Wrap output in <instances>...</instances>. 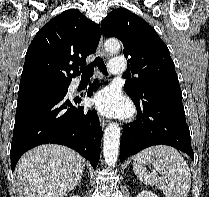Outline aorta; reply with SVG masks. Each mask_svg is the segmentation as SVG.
Instances as JSON below:
<instances>
[{"label":"aorta","instance_id":"obj_1","mask_svg":"<svg viewBox=\"0 0 209 197\" xmlns=\"http://www.w3.org/2000/svg\"><path fill=\"white\" fill-rule=\"evenodd\" d=\"M121 48L117 39H108L105 42V49L109 53H117ZM120 127L117 123H110L105 129L103 136V156L107 166L114 167L119 155Z\"/></svg>","mask_w":209,"mask_h":197}]
</instances>
